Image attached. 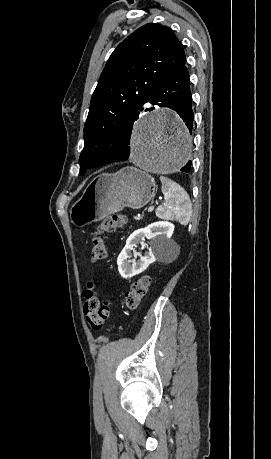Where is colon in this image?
<instances>
[{
  "mask_svg": "<svg viewBox=\"0 0 271 459\" xmlns=\"http://www.w3.org/2000/svg\"><path fill=\"white\" fill-rule=\"evenodd\" d=\"M127 219L123 214H113L103 219L97 226L91 242V260L100 262L106 256V245L103 235L114 232L126 223ZM150 286V279L146 276L137 279L125 293V305L129 309L139 306L142 299L146 296ZM85 315L89 325L98 330L102 328L109 315L107 303H101L97 295L91 296L85 303Z\"/></svg>",
  "mask_w": 271,
  "mask_h": 459,
  "instance_id": "5ec220e1",
  "label": "colon"
}]
</instances>
